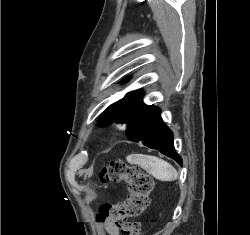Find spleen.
<instances>
[{
  "instance_id": "1",
  "label": "spleen",
  "mask_w": 250,
  "mask_h": 235,
  "mask_svg": "<svg viewBox=\"0 0 250 235\" xmlns=\"http://www.w3.org/2000/svg\"><path fill=\"white\" fill-rule=\"evenodd\" d=\"M127 161L139 165L158 180L174 181L178 178L177 170L156 156L133 154L127 157Z\"/></svg>"
}]
</instances>
